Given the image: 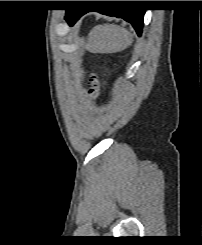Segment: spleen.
<instances>
[{
  "label": "spleen",
  "instance_id": "obj_1",
  "mask_svg": "<svg viewBox=\"0 0 202 245\" xmlns=\"http://www.w3.org/2000/svg\"><path fill=\"white\" fill-rule=\"evenodd\" d=\"M132 43L133 37L128 30L114 24H104L90 31L86 48L93 53H115Z\"/></svg>",
  "mask_w": 202,
  "mask_h": 245
}]
</instances>
